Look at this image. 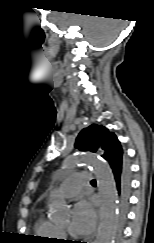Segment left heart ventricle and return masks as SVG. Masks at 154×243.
Returning a JSON list of instances; mask_svg holds the SVG:
<instances>
[{"label": "left heart ventricle", "instance_id": "obj_1", "mask_svg": "<svg viewBox=\"0 0 154 243\" xmlns=\"http://www.w3.org/2000/svg\"><path fill=\"white\" fill-rule=\"evenodd\" d=\"M60 227L63 228V229L69 228L70 227L69 222L62 224Z\"/></svg>", "mask_w": 154, "mask_h": 243}]
</instances>
